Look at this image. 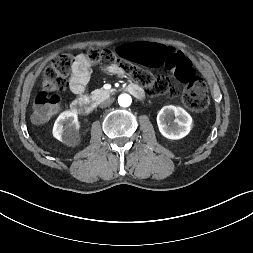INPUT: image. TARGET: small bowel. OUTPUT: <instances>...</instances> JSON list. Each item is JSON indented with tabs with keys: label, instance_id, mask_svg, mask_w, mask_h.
Segmentation results:
<instances>
[{
	"label": "small bowel",
	"instance_id": "small-bowel-1",
	"mask_svg": "<svg viewBox=\"0 0 253 253\" xmlns=\"http://www.w3.org/2000/svg\"><path fill=\"white\" fill-rule=\"evenodd\" d=\"M90 67L91 62L84 55H78L75 58L69 79V88L73 94L79 97L83 96L86 91V86L90 80ZM108 71L114 75L122 74V70L116 65L109 67Z\"/></svg>",
	"mask_w": 253,
	"mask_h": 253
}]
</instances>
